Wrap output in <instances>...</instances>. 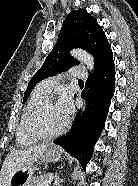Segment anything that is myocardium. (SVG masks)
<instances>
[{
    "mask_svg": "<svg viewBox=\"0 0 138 186\" xmlns=\"http://www.w3.org/2000/svg\"><path fill=\"white\" fill-rule=\"evenodd\" d=\"M52 103H56V100L54 98L51 97H46L43 100H41L39 103H37L27 114L25 121H24V132L25 134L34 139V140H50V139H54L60 135H62L66 129L68 128V124L69 121L66 120L64 126L51 134H41L37 131H35L32 127V121L35 118V116L41 111L43 110L47 105L52 104Z\"/></svg>",
    "mask_w": 138,
    "mask_h": 186,
    "instance_id": "f54148a6",
    "label": "myocardium"
}]
</instances>
